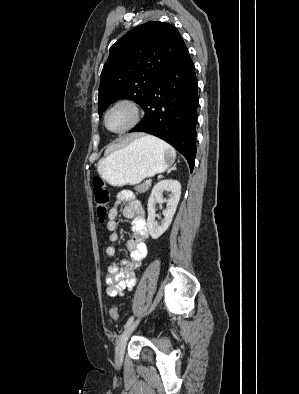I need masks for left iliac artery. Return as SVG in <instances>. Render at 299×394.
I'll list each match as a JSON object with an SVG mask.
<instances>
[{"mask_svg":"<svg viewBox=\"0 0 299 394\" xmlns=\"http://www.w3.org/2000/svg\"><path fill=\"white\" fill-rule=\"evenodd\" d=\"M133 319H134V317L133 316H131L129 319H128V321H127V323L125 324V328L126 327H128L132 322H133Z\"/></svg>","mask_w":299,"mask_h":394,"instance_id":"left-iliac-artery-1","label":"left iliac artery"}]
</instances>
